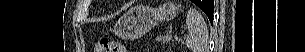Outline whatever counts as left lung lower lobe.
<instances>
[{"label":"left lung lower lobe","mask_w":305,"mask_h":52,"mask_svg":"<svg viewBox=\"0 0 305 52\" xmlns=\"http://www.w3.org/2000/svg\"><path fill=\"white\" fill-rule=\"evenodd\" d=\"M201 9L206 13L210 22L213 23L214 1L213 0H206L205 1V7L201 8Z\"/></svg>","instance_id":"obj_1"}]
</instances>
